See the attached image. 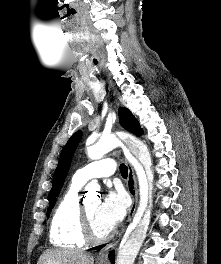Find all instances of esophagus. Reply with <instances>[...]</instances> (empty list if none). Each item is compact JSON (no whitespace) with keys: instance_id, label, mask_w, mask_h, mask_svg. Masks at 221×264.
Returning <instances> with one entry per match:
<instances>
[{"instance_id":"esophagus-1","label":"esophagus","mask_w":221,"mask_h":264,"mask_svg":"<svg viewBox=\"0 0 221 264\" xmlns=\"http://www.w3.org/2000/svg\"><path fill=\"white\" fill-rule=\"evenodd\" d=\"M127 190L132 198V204L129 209V215L127 222H130L135 214L137 204H138V190H137V183H136V177L135 173L133 170V167L129 164L128 165V177H127V182H126ZM124 230L121 231V233L111 242L110 244L106 245L103 247L98 255H97V261L102 263V264H107L108 263V254L111 250H113L117 244L120 241V238L122 236Z\"/></svg>"}]
</instances>
